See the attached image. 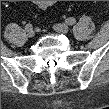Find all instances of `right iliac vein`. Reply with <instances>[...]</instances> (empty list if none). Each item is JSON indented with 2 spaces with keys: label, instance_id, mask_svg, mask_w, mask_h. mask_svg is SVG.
Here are the masks:
<instances>
[{
  "label": "right iliac vein",
  "instance_id": "1",
  "mask_svg": "<svg viewBox=\"0 0 109 109\" xmlns=\"http://www.w3.org/2000/svg\"><path fill=\"white\" fill-rule=\"evenodd\" d=\"M27 31V35L29 37H34L35 36V31L33 29H29V30H26Z\"/></svg>",
  "mask_w": 109,
  "mask_h": 109
}]
</instances>
